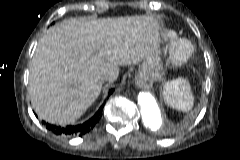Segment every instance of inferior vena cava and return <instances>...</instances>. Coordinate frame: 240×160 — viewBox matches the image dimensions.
<instances>
[{
	"mask_svg": "<svg viewBox=\"0 0 240 160\" xmlns=\"http://www.w3.org/2000/svg\"><path fill=\"white\" fill-rule=\"evenodd\" d=\"M115 78L113 76L110 75H106L102 77L103 81H110V80H114Z\"/></svg>",
	"mask_w": 240,
	"mask_h": 160,
	"instance_id": "602c4592",
	"label": "inferior vena cava"
}]
</instances>
